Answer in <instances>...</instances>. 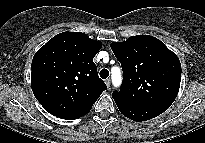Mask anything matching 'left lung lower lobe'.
Returning <instances> with one entry per match:
<instances>
[{"label":"left lung lower lobe","mask_w":205,"mask_h":143,"mask_svg":"<svg viewBox=\"0 0 205 143\" xmlns=\"http://www.w3.org/2000/svg\"><path fill=\"white\" fill-rule=\"evenodd\" d=\"M120 112L134 121H146L152 119L164 111H166L170 104H159V105H150V106H130L118 101H115Z\"/></svg>","instance_id":"0a47b994"}]
</instances>
